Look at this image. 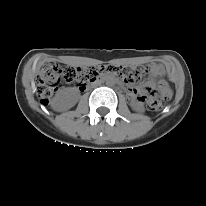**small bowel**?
<instances>
[{"instance_id":"1","label":"small bowel","mask_w":206,"mask_h":206,"mask_svg":"<svg viewBox=\"0 0 206 206\" xmlns=\"http://www.w3.org/2000/svg\"><path fill=\"white\" fill-rule=\"evenodd\" d=\"M163 71H164V69H163V66H162V65H155V66L152 67V72H153V74H155V75H160V74L163 73ZM139 92H140V90L134 89V88H131V89H129V91H128V93H129V95H130L131 97H135L136 94L139 93Z\"/></svg>"}]
</instances>
